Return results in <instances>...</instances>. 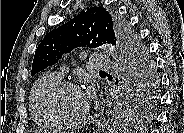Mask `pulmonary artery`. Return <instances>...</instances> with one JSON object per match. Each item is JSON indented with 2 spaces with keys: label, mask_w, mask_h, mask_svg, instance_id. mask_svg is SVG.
<instances>
[{
  "label": "pulmonary artery",
  "mask_w": 184,
  "mask_h": 133,
  "mask_svg": "<svg viewBox=\"0 0 184 133\" xmlns=\"http://www.w3.org/2000/svg\"><path fill=\"white\" fill-rule=\"evenodd\" d=\"M89 63L95 70H110L113 69V62L112 60L105 56L100 54H93L89 57ZM66 72L65 68H62L61 75H63Z\"/></svg>",
  "instance_id": "pulmonary-artery-1"
}]
</instances>
